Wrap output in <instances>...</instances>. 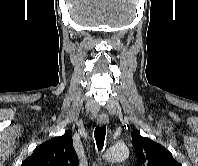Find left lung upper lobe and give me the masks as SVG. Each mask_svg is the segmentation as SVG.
I'll use <instances>...</instances> for the list:
<instances>
[{
    "instance_id": "obj_1",
    "label": "left lung upper lobe",
    "mask_w": 198,
    "mask_h": 166,
    "mask_svg": "<svg viewBox=\"0 0 198 166\" xmlns=\"http://www.w3.org/2000/svg\"><path fill=\"white\" fill-rule=\"evenodd\" d=\"M131 136L137 154V166H181L162 145L142 137L137 130L133 131Z\"/></svg>"
}]
</instances>
